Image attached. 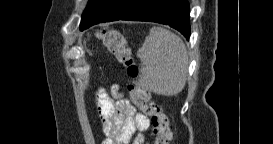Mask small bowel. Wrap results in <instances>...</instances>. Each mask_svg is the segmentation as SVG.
Returning <instances> with one entry per match:
<instances>
[{
  "label": "small bowel",
  "mask_w": 273,
  "mask_h": 144,
  "mask_svg": "<svg viewBox=\"0 0 273 144\" xmlns=\"http://www.w3.org/2000/svg\"><path fill=\"white\" fill-rule=\"evenodd\" d=\"M98 114L102 122L107 144H144V133L149 128V119L120 91L118 85L111 87L110 94L100 88L96 92Z\"/></svg>",
  "instance_id": "obj_1"
}]
</instances>
